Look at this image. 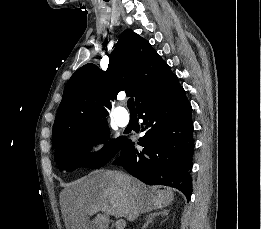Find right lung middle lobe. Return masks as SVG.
<instances>
[{
    "instance_id": "1",
    "label": "right lung middle lobe",
    "mask_w": 261,
    "mask_h": 229,
    "mask_svg": "<svg viewBox=\"0 0 261 229\" xmlns=\"http://www.w3.org/2000/svg\"><path fill=\"white\" fill-rule=\"evenodd\" d=\"M66 138L55 150V159L60 170L73 171L78 167L97 169L107 164L126 142L125 137L107 141L109 129L107 122L69 127L65 130ZM96 143H105L97 153H90L89 148Z\"/></svg>"
}]
</instances>
